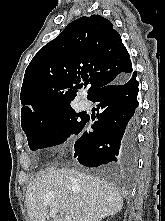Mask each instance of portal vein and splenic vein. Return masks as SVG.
Masks as SVG:
<instances>
[{"label":"portal vein and splenic vein","mask_w":165,"mask_h":221,"mask_svg":"<svg viewBox=\"0 0 165 221\" xmlns=\"http://www.w3.org/2000/svg\"><path fill=\"white\" fill-rule=\"evenodd\" d=\"M57 213H58V210L56 208H52V209H50L49 215L52 218H55ZM64 218H65V221H71V218L69 216H65Z\"/></svg>","instance_id":"1"}]
</instances>
